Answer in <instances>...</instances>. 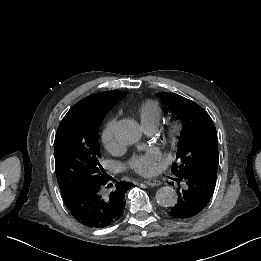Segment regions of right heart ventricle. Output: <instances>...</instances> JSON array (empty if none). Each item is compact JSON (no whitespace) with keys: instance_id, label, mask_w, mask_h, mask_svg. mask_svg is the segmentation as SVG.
Returning <instances> with one entry per match:
<instances>
[{"instance_id":"e07e8e85","label":"right heart ventricle","mask_w":261,"mask_h":261,"mask_svg":"<svg viewBox=\"0 0 261 261\" xmlns=\"http://www.w3.org/2000/svg\"><path fill=\"white\" fill-rule=\"evenodd\" d=\"M137 116L144 127L155 128L162 120L164 112L156 101L147 100L139 106Z\"/></svg>"}]
</instances>
